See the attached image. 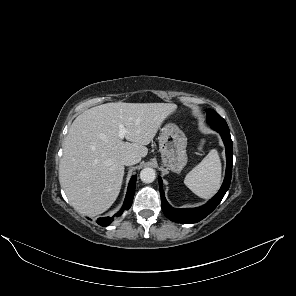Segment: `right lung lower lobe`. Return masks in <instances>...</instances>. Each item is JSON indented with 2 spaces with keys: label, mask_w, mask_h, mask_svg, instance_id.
<instances>
[{
  "label": "right lung lower lobe",
  "mask_w": 296,
  "mask_h": 296,
  "mask_svg": "<svg viewBox=\"0 0 296 296\" xmlns=\"http://www.w3.org/2000/svg\"><path fill=\"white\" fill-rule=\"evenodd\" d=\"M135 185H136V176H133L131 178L129 186H128L124 205H123L122 209L118 213L115 214V216H120L124 209L128 210L131 207L134 193H135ZM112 219L113 218H110V217L99 218L97 220V223L101 226H108L111 223Z\"/></svg>",
  "instance_id": "obj_1"
}]
</instances>
